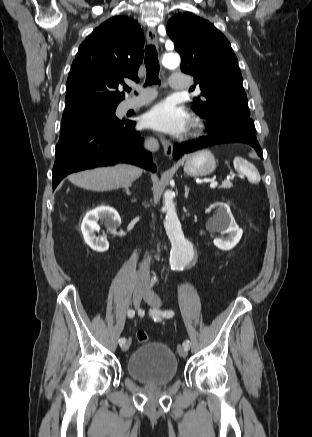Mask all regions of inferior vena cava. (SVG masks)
Masks as SVG:
<instances>
[{
    "label": "inferior vena cava",
    "mask_w": 312,
    "mask_h": 437,
    "mask_svg": "<svg viewBox=\"0 0 312 437\" xmlns=\"http://www.w3.org/2000/svg\"><path fill=\"white\" fill-rule=\"evenodd\" d=\"M145 148L151 151H155L158 149L159 145L156 139L149 138L145 141L144 144ZM150 257H147L144 259V261L140 264L139 267V273L140 274H148L149 273V266H150Z\"/></svg>",
    "instance_id": "1"
}]
</instances>
